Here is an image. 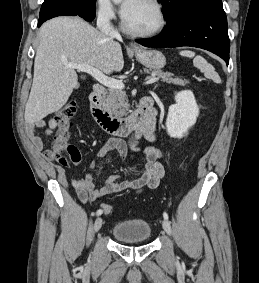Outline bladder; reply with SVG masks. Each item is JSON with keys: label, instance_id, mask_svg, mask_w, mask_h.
Listing matches in <instances>:
<instances>
[{"label": "bladder", "instance_id": "31cf9c89", "mask_svg": "<svg viewBox=\"0 0 259 283\" xmlns=\"http://www.w3.org/2000/svg\"><path fill=\"white\" fill-rule=\"evenodd\" d=\"M152 229L148 222L141 219L123 220L112 228V236L119 241H146Z\"/></svg>", "mask_w": 259, "mask_h": 283}]
</instances>
